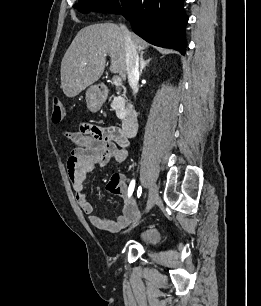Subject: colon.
I'll return each instance as SVG.
<instances>
[{
  "instance_id": "colon-1",
  "label": "colon",
  "mask_w": 261,
  "mask_h": 306,
  "mask_svg": "<svg viewBox=\"0 0 261 306\" xmlns=\"http://www.w3.org/2000/svg\"><path fill=\"white\" fill-rule=\"evenodd\" d=\"M64 116H65V109H64L63 104L61 103L59 99H54L52 103V113H51L52 122L55 125H58L62 122V120L64 119ZM113 180L114 181L118 180L117 174L113 176Z\"/></svg>"
}]
</instances>
